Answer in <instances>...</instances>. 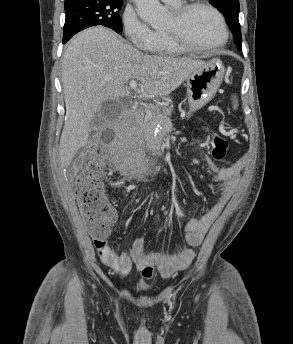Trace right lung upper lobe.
Segmentation results:
<instances>
[{
    "instance_id": "cb5924a9",
    "label": "right lung upper lobe",
    "mask_w": 293,
    "mask_h": 344,
    "mask_svg": "<svg viewBox=\"0 0 293 344\" xmlns=\"http://www.w3.org/2000/svg\"><path fill=\"white\" fill-rule=\"evenodd\" d=\"M78 0H65V3L76 2Z\"/></svg>"
}]
</instances>
